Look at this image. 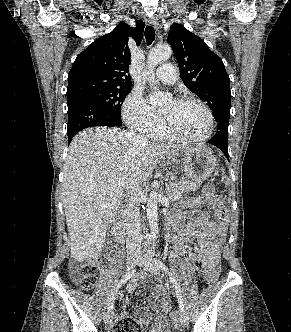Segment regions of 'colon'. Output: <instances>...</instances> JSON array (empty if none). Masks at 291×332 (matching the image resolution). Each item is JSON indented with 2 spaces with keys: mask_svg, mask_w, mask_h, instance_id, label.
Listing matches in <instances>:
<instances>
[{
  "mask_svg": "<svg viewBox=\"0 0 291 332\" xmlns=\"http://www.w3.org/2000/svg\"><path fill=\"white\" fill-rule=\"evenodd\" d=\"M204 195L207 201L214 208L218 223L220 227L224 228L227 224L228 213L227 209L221 201L219 195L215 191L212 184L208 183L204 187ZM102 262V257H98L94 260L86 262L84 264L73 263L71 265V273L75 280H77L80 286L85 290L94 288L96 284L97 273L99 265ZM220 273L219 263H215L207 267L205 271L206 279L209 283L216 281ZM121 302L116 301V306L120 307ZM114 332H142L141 324L131 317H123L114 324Z\"/></svg>",
  "mask_w": 291,
  "mask_h": 332,
  "instance_id": "colon-1",
  "label": "colon"
}]
</instances>
